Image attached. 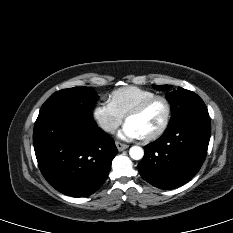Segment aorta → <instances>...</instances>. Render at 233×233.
<instances>
[{
  "mask_svg": "<svg viewBox=\"0 0 233 233\" xmlns=\"http://www.w3.org/2000/svg\"><path fill=\"white\" fill-rule=\"evenodd\" d=\"M129 155L134 160H140L144 156V150L139 146H132L129 150Z\"/></svg>",
  "mask_w": 233,
  "mask_h": 233,
  "instance_id": "aorta-1",
  "label": "aorta"
}]
</instances>
